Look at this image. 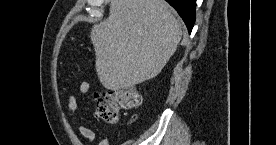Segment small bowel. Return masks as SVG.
<instances>
[{"label": "small bowel", "instance_id": "1", "mask_svg": "<svg viewBox=\"0 0 276 145\" xmlns=\"http://www.w3.org/2000/svg\"><path fill=\"white\" fill-rule=\"evenodd\" d=\"M80 91L83 94H88L90 92V84L88 82H83L80 85ZM78 107L77 99L75 96L70 95L67 98V103H66V110L67 113L72 116ZM77 132L84 137L89 143H92L95 140V133L92 129L83 126V125H78L76 126ZM99 145H109V137L103 138Z\"/></svg>", "mask_w": 276, "mask_h": 145}]
</instances>
